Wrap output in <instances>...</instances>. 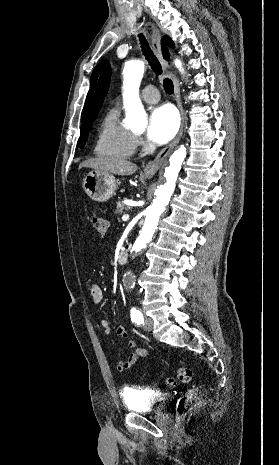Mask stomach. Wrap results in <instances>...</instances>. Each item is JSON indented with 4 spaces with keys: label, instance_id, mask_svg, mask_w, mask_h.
I'll use <instances>...</instances> for the list:
<instances>
[{
    "label": "stomach",
    "instance_id": "stomach-1",
    "mask_svg": "<svg viewBox=\"0 0 279 465\" xmlns=\"http://www.w3.org/2000/svg\"><path fill=\"white\" fill-rule=\"evenodd\" d=\"M83 189L92 200L104 202L115 193L117 180L109 173L93 170L83 179Z\"/></svg>",
    "mask_w": 279,
    "mask_h": 465
}]
</instances>
